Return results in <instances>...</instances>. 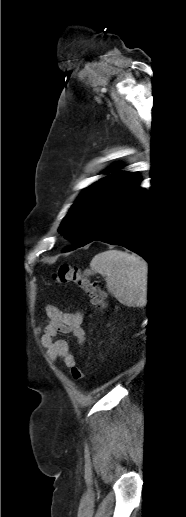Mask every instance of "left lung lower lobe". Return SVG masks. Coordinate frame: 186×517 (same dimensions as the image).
I'll return each instance as SVG.
<instances>
[{
    "label": "left lung lower lobe",
    "mask_w": 186,
    "mask_h": 517,
    "mask_svg": "<svg viewBox=\"0 0 186 517\" xmlns=\"http://www.w3.org/2000/svg\"><path fill=\"white\" fill-rule=\"evenodd\" d=\"M138 184L139 181L103 216L88 243L99 240L126 247L152 265V256L146 240V192Z\"/></svg>",
    "instance_id": "1"
}]
</instances>
